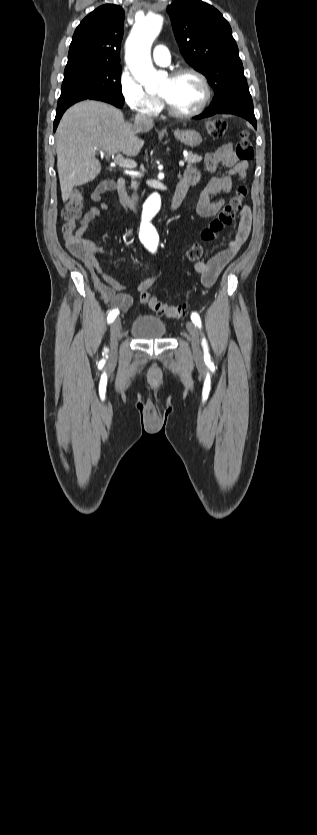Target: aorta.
Here are the masks:
<instances>
[{
	"label": "aorta",
	"mask_w": 317,
	"mask_h": 835,
	"mask_svg": "<svg viewBox=\"0 0 317 835\" xmlns=\"http://www.w3.org/2000/svg\"><path fill=\"white\" fill-rule=\"evenodd\" d=\"M164 16L160 13H150L138 19L133 26L125 44V61L134 78L145 88L146 92L157 91L160 81L166 78V73L157 71L151 60V46L161 31ZM161 207L159 194L153 193L143 207L141 235L151 237L157 242L154 217Z\"/></svg>",
	"instance_id": "1"
}]
</instances>
